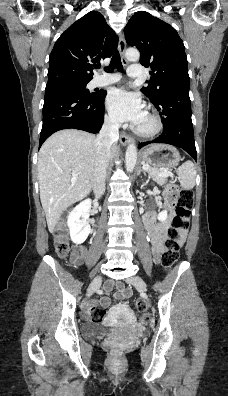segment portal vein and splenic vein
Instances as JSON below:
<instances>
[{
  "instance_id": "18ae733b",
  "label": "portal vein and splenic vein",
  "mask_w": 228,
  "mask_h": 396,
  "mask_svg": "<svg viewBox=\"0 0 228 396\" xmlns=\"http://www.w3.org/2000/svg\"><path fill=\"white\" fill-rule=\"evenodd\" d=\"M143 169H144V170H148V169H149V165H143ZM161 175H163V176H170V173H169L168 170H165V171H162V172H161ZM171 175H172V173H171ZM77 179H78L77 176H73V177H72V181H73V182H75Z\"/></svg>"
}]
</instances>
